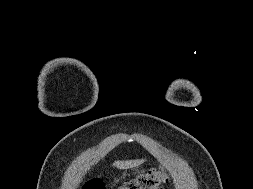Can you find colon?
Instances as JSON below:
<instances>
[{
    "label": "colon",
    "instance_id": "5ec220e1",
    "mask_svg": "<svg viewBox=\"0 0 253 189\" xmlns=\"http://www.w3.org/2000/svg\"><path fill=\"white\" fill-rule=\"evenodd\" d=\"M168 177L163 169H153L133 180L127 181L117 189H161ZM82 189H104L100 178H91L86 181Z\"/></svg>",
    "mask_w": 253,
    "mask_h": 189
}]
</instances>
